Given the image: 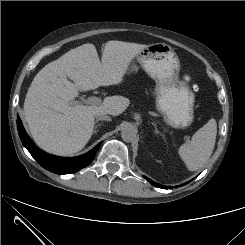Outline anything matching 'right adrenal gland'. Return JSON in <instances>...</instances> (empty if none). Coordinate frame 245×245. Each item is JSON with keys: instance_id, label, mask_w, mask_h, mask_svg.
<instances>
[{"instance_id": "1", "label": "right adrenal gland", "mask_w": 245, "mask_h": 245, "mask_svg": "<svg viewBox=\"0 0 245 245\" xmlns=\"http://www.w3.org/2000/svg\"><path fill=\"white\" fill-rule=\"evenodd\" d=\"M101 126V124H97V125H95V130H94V133H96L97 132V128L98 127H100Z\"/></svg>"}]
</instances>
